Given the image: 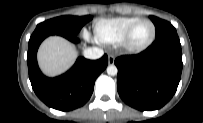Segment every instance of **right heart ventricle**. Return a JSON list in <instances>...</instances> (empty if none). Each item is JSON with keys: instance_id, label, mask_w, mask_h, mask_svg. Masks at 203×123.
Instances as JSON below:
<instances>
[{"instance_id": "right-heart-ventricle-1", "label": "right heart ventricle", "mask_w": 203, "mask_h": 123, "mask_svg": "<svg viewBox=\"0 0 203 123\" xmlns=\"http://www.w3.org/2000/svg\"><path fill=\"white\" fill-rule=\"evenodd\" d=\"M138 19L136 16L99 19L94 24L95 38L104 44L118 43L127 28Z\"/></svg>"}]
</instances>
